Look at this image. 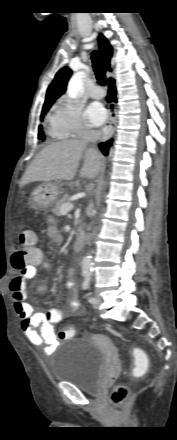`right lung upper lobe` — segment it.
I'll use <instances>...</instances> for the list:
<instances>
[{
  "label": "right lung upper lobe",
  "mask_w": 177,
  "mask_h": 440,
  "mask_svg": "<svg viewBox=\"0 0 177 440\" xmlns=\"http://www.w3.org/2000/svg\"><path fill=\"white\" fill-rule=\"evenodd\" d=\"M98 42L100 53L105 61L106 69L111 71L110 61L112 57V47L102 34L99 35ZM71 74L72 71L68 67H63L57 72L54 80L47 89L45 103L54 102L65 92Z\"/></svg>",
  "instance_id": "cb5924a9"
}]
</instances>
